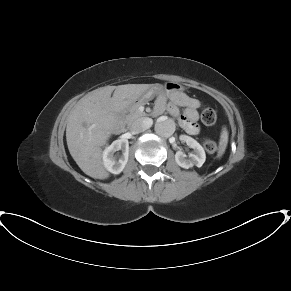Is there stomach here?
Returning <instances> with one entry per match:
<instances>
[{
	"label": "stomach",
	"mask_w": 291,
	"mask_h": 291,
	"mask_svg": "<svg viewBox=\"0 0 291 291\" xmlns=\"http://www.w3.org/2000/svg\"><path fill=\"white\" fill-rule=\"evenodd\" d=\"M178 86L172 83H166L164 86L160 85V84H154L151 85L150 88L145 92V94L142 96V99L144 101L151 99L154 95L162 92V91H166L169 92L170 89L172 88H177Z\"/></svg>",
	"instance_id": "obj_1"
}]
</instances>
